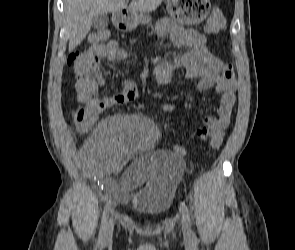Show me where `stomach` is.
Returning a JSON list of instances; mask_svg holds the SVG:
<instances>
[{
  "instance_id": "stomach-1",
  "label": "stomach",
  "mask_w": 295,
  "mask_h": 250,
  "mask_svg": "<svg viewBox=\"0 0 295 250\" xmlns=\"http://www.w3.org/2000/svg\"><path fill=\"white\" fill-rule=\"evenodd\" d=\"M169 15L178 23L192 25L202 22L209 14L210 0H167ZM151 18L145 13L129 12L119 23L122 29L131 31L139 24L150 23Z\"/></svg>"
}]
</instances>
